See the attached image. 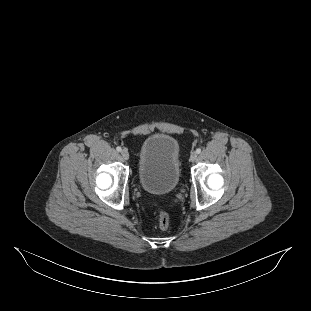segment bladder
<instances>
[{"label":"bladder","mask_w":311,"mask_h":311,"mask_svg":"<svg viewBox=\"0 0 311 311\" xmlns=\"http://www.w3.org/2000/svg\"><path fill=\"white\" fill-rule=\"evenodd\" d=\"M136 175L147 193L164 195L174 191L182 176L178 141L166 133L148 136L139 149Z\"/></svg>","instance_id":"1"}]
</instances>
